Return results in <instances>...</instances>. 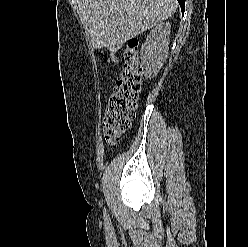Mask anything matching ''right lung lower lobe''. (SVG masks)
Returning <instances> with one entry per match:
<instances>
[{"mask_svg": "<svg viewBox=\"0 0 248 247\" xmlns=\"http://www.w3.org/2000/svg\"><path fill=\"white\" fill-rule=\"evenodd\" d=\"M180 6H181V10L182 12H184V7H185V0H178Z\"/></svg>", "mask_w": 248, "mask_h": 247, "instance_id": "98d812e1", "label": "right lung lower lobe"}]
</instances>
